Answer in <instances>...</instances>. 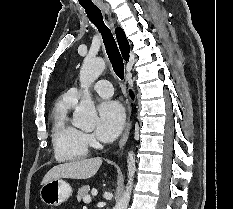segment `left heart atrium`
<instances>
[{
    "label": "left heart atrium",
    "instance_id": "39dd6f15",
    "mask_svg": "<svg viewBox=\"0 0 233 209\" xmlns=\"http://www.w3.org/2000/svg\"><path fill=\"white\" fill-rule=\"evenodd\" d=\"M125 121L122 106L117 101H104L98 107L96 134L105 142L114 140L121 132Z\"/></svg>",
    "mask_w": 233,
    "mask_h": 209
}]
</instances>
